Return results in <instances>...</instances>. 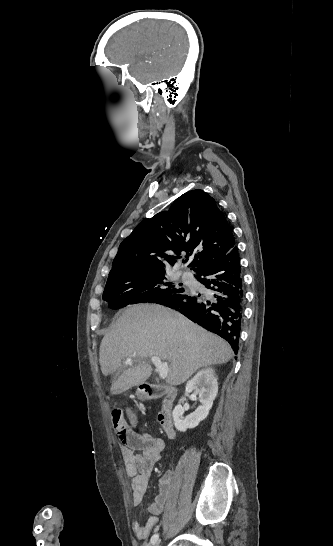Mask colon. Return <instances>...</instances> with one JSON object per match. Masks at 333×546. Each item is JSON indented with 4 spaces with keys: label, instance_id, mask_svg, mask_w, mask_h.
Returning <instances> with one entry per match:
<instances>
[{
    "label": "colon",
    "instance_id": "1",
    "mask_svg": "<svg viewBox=\"0 0 333 546\" xmlns=\"http://www.w3.org/2000/svg\"><path fill=\"white\" fill-rule=\"evenodd\" d=\"M112 423L119 443L123 447H131L130 430L122 410L115 409L112 411Z\"/></svg>",
    "mask_w": 333,
    "mask_h": 546
}]
</instances>
